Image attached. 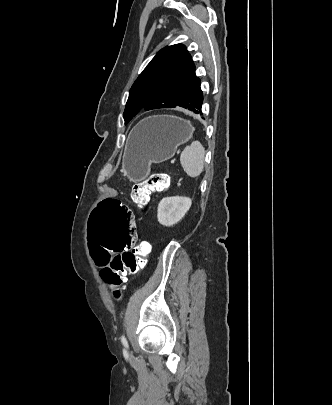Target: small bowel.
<instances>
[{"label": "small bowel", "mask_w": 332, "mask_h": 405, "mask_svg": "<svg viewBox=\"0 0 332 405\" xmlns=\"http://www.w3.org/2000/svg\"><path fill=\"white\" fill-rule=\"evenodd\" d=\"M135 222V219H134ZM135 227H136V222H135ZM115 257H109L108 259H114Z\"/></svg>", "instance_id": "obj_1"}]
</instances>
